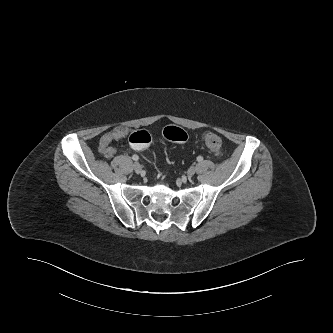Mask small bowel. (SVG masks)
Returning <instances> with one entry per match:
<instances>
[{"label":"small bowel","instance_id":"1","mask_svg":"<svg viewBox=\"0 0 333 333\" xmlns=\"http://www.w3.org/2000/svg\"><path fill=\"white\" fill-rule=\"evenodd\" d=\"M133 135V130L130 127H116L111 131L102 135L99 141V152L107 159L115 157L117 150L112 146L114 141L130 138Z\"/></svg>","mask_w":333,"mask_h":333}]
</instances>
